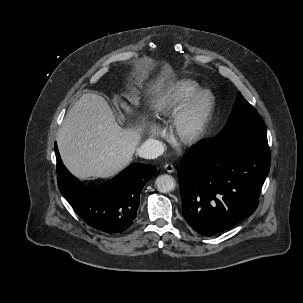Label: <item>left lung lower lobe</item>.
<instances>
[{"mask_svg": "<svg viewBox=\"0 0 303 303\" xmlns=\"http://www.w3.org/2000/svg\"><path fill=\"white\" fill-rule=\"evenodd\" d=\"M270 164L269 150L237 139L198 143L178 171L188 224L213 236L252 215Z\"/></svg>", "mask_w": 303, "mask_h": 303, "instance_id": "left-lung-lower-lobe-1", "label": "left lung lower lobe"}]
</instances>
